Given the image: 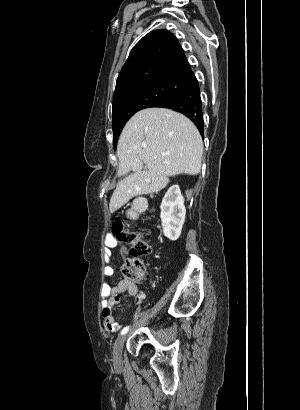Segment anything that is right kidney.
<instances>
[{
    "label": "right kidney",
    "instance_id": "obj_1",
    "mask_svg": "<svg viewBox=\"0 0 300 410\" xmlns=\"http://www.w3.org/2000/svg\"><path fill=\"white\" fill-rule=\"evenodd\" d=\"M164 235L172 241L179 238L185 221L186 208L178 185L171 186L162 199L160 206Z\"/></svg>",
    "mask_w": 300,
    "mask_h": 410
}]
</instances>
